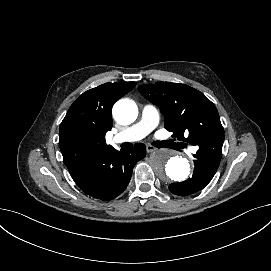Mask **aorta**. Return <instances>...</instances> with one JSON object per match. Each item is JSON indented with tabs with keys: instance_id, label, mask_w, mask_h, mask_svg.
Masks as SVG:
<instances>
[{
	"instance_id": "1",
	"label": "aorta",
	"mask_w": 271,
	"mask_h": 271,
	"mask_svg": "<svg viewBox=\"0 0 271 271\" xmlns=\"http://www.w3.org/2000/svg\"><path fill=\"white\" fill-rule=\"evenodd\" d=\"M113 116L120 124H131L138 116V107L131 100H119L113 106ZM150 165L156 175L163 180L183 181L190 174L188 159L170 149L152 153Z\"/></svg>"
}]
</instances>
